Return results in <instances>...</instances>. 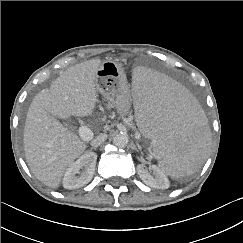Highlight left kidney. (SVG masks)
Wrapping results in <instances>:
<instances>
[{
	"instance_id": "1",
	"label": "left kidney",
	"mask_w": 243,
	"mask_h": 243,
	"mask_svg": "<svg viewBox=\"0 0 243 243\" xmlns=\"http://www.w3.org/2000/svg\"><path fill=\"white\" fill-rule=\"evenodd\" d=\"M137 171L141 180L145 184L158 189H167L169 187V180L167 176L161 172L159 168L153 167L155 177L150 175L143 164H139L137 166Z\"/></svg>"
}]
</instances>
